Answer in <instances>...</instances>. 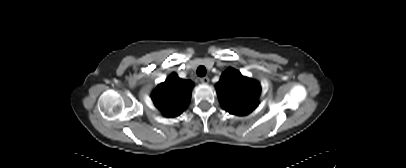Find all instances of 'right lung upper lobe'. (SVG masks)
<instances>
[{
    "mask_svg": "<svg viewBox=\"0 0 406 168\" xmlns=\"http://www.w3.org/2000/svg\"><path fill=\"white\" fill-rule=\"evenodd\" d=\"M194 83L173 73L152 94L155 106L167 117L180 115L188 106Z\"/></svg>",
    "mask_w": 406,
    "mask_h": 168,
    "instance_id": "1",
    "label": "right lung upper lobe"
}]
</instances>
